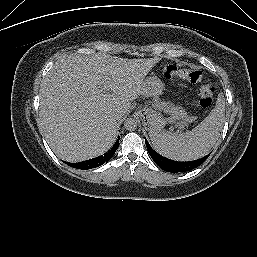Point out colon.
I'll return each instance as SVG.
<instances>
[{"mask_svg":"<svg viewBox=\"0 0 257 257\" xmlns=\"http://www.w3.org/2000/svg\"><path fill=\"white\" fill-rule=\"evenodd\" d=\"M163 75L166 78L179 77L191 83H202L198 91L199 105L203 109L211 107L216 92V85L211 79L205 80L201 71L181 69L174 65H166L163 68Z\"/></svg>","mask_w":257,"mask_h":257,"instance_id":"colon-1","label":"colon"}]
</instances>
